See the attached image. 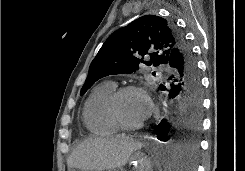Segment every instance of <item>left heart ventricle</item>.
Here are the masks:
<instances>
[{
	"label": "left heart ventricle",
	"mask_w": 245,
	"mask_h": 171,
	"mask_svg": "<svg viewBox=\"0 0 245 171\" xmlns=\"http://www.w3.org/2000/svg\"><path fill=\"white\" fill-rule=\"evenodd\" d=\"M147 100L139 93L125 94L119 102V113L128 124H138L144 120Z\"/></svg>",
	"instance_id": "left-heart-ventricle-1"
}]
</instances>
